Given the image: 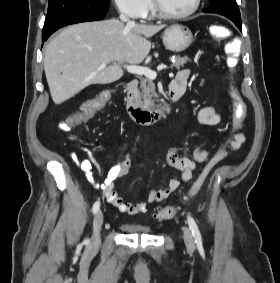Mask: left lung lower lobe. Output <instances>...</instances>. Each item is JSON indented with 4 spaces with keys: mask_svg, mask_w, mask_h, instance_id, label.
Returning a JSON list of instances; mask_svg holds the SVG:
<instances>
[{
    "mask_svg": "<svg viewBox=\"0 0 280 283\" xmlns=\"http://www.w3.org/2000/svg\"><path fill=\"white\" fill-rule=\"evenodd\" d=\"M231 21L239 28V30L242 31V25L241 22L235 19H231Z\"/></svg>",
    "mask_w": 280,
    "mask_h": 283,
    "instance_id": "obj_1",
    "label": "left lung lower lobe"
}]
</instances>
